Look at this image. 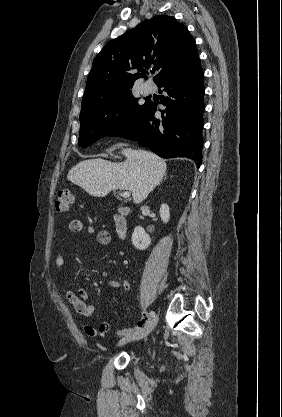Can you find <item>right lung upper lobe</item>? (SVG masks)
<instances>
[{
  "mask_svg": "<svg viewBox=\"0 0 282 417\" xmlns=\"http://www.w3.org/2000/svg\"><path fill=\"white\" fill-rule=\"evenodd\" d=\"M198 59L194 38L174 17L160 15L145 20L110 41L96 56L83 99L130 90L152 66L156 70L154 82L158 84Z\"/></svg>",
  "mask_w": 282,
  "mask_h": 417,
  "instance_id": "1",
  "label": "right lung upper lobe"
}]
</instances>
